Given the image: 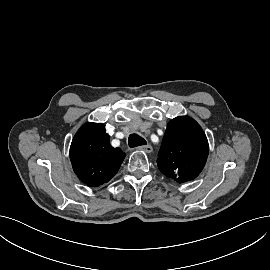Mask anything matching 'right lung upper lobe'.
Masks as SVG:
<instances>
[{
  "mask_svg": "<svg viewBox=\"0 0 270 270\" xmlns=\"http://www.w3.org/2000/svg\"><path fill=\"white\" fill-rule=\"evenodd\" d=\"M126 154L113 148L102 123H87L75 134L70 160L78 178L88 186L108 182L119 170Z\"/></svg>",
  "mask_w": 270,
  "mask_h": 270,
  "instance_id": "1",
  "label": "right lung upper lobe"
}]
</instances>
